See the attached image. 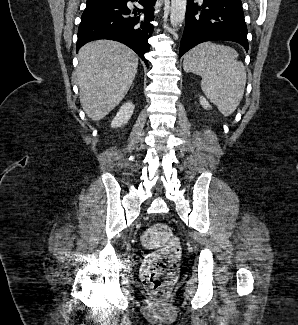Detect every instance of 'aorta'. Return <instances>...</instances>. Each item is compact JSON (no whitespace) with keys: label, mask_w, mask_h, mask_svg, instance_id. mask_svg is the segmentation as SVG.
<instances>
[{"label":"aorta","mask_w":298,"mask_h":325,"mask_svg":"<svg viewBox=\"0 0 298 325\" xmlns=\"http://www.w3.org/2000/svg\"><path fill=\"white\" fill-rule=\"evenodd\" d=\"M186 6L187 0H171L170 22L175 28L179 22H183L186 14Z\"/></svg>","instance_id":"762f6f07"}]
</instances>
